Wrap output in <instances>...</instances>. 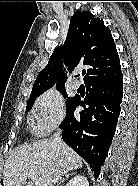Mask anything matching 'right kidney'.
Listing matches in <instances>:
<instances>
[{
  "instance_id": "right-kidney-1",
  "label": "right kidney",
  "mask_w": 138,
  "mask_h": 186,
  "mask_svg": "<svg viewBox=\"0 0 138 186\" xmlns=\"http://www.w3.org/2000/svg\"><path fill=\"white\" fill-rule=\"evenodd\" d=\"M66 186H89V182L86 177L78 175L72 178Z\"/></svg>"
}]
</instances>
